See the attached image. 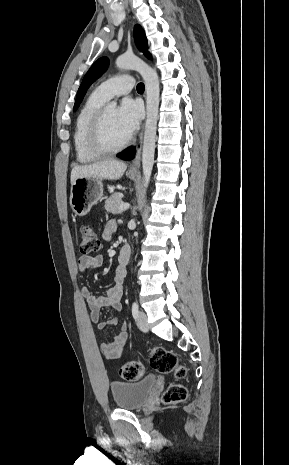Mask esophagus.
Wrapping results in <instances>:
<instances>
[{"label":"esophagus","mask_w":289,"mask_h":465,"mask_svg":"<svg viewBox=\"0 0 289 465\" xmlns=\"http://www.w3.org/2000/svg\"><path fill=\"white\" fill-rule=\"evenodd\" d=\"M142 143H143V130L141 131L139 135V139L135 145V155L129 166L130 171H138L140 168Z\"/></svg>","instance_id":"esophagus-1"}]
</instances>
